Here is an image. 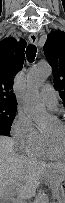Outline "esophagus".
Instances as JSON below:
<instances>
[{
    "label": "esophagus",
    "instance_id": "1",
    "mask_svg": "<svg viewBox=\"0 0 65 203\" xmlns=\"http://www.w3.org/2000/svg\"><path fill=\"white\" fill-rule=\"evenodd\" d=\"M29 41L32 43V44H36L37 41H38V36L36 33H31L29 35Z\"/></svg>",
    "mask_w": 65,
    "mask_h": 203
}]
</instances>
